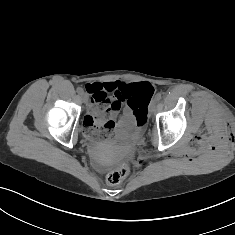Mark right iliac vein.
I'll list each match as a JSON object with an SVG mask.
<instances>
[{
  "label": "right iliac vein",
  "instance_id": "obj_1",
  "mask_svg": "<svg viewBox=\"0 0 235 235\" xmlns=\"http://www.w3.org/2000/svg\"><path fill=\"white\" fill-rule=\"evenodd\" d=\"M81 97H82L83 102L86 104V103L88 102V96H87V94H86V93H82V94H81Z\"/></svg>",
  "mask_w": 235,
  "mask_h": 235
}]
</instances>
